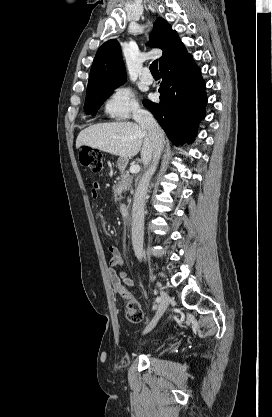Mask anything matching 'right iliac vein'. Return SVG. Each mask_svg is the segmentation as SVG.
I'll list each match as a JSON object with an SVG mask.
<instances>
[{
	"label": "right iliac vein",
	"instance_id": "right-iliac-vein-1",
	"mask_svg": "<svg viewBox=\"0 0 272 417\" xmlns=\"http://www.w3.org/2000/svg\"><path fill=\"white\" fill-rule=\"evenodd\" d=\"M160 296H161V301L158 306L156 315L153 318V320L149 323V325L146 327V329L144 330V333L150 332L156 326L157 322L159 321L161 316L164 314V312L166 311L169 305V302L171 300L170 296L163 290H160Z\"/></svg>",
	"mask_w": 272,
	"mask_h": 417
}]
</instances>
